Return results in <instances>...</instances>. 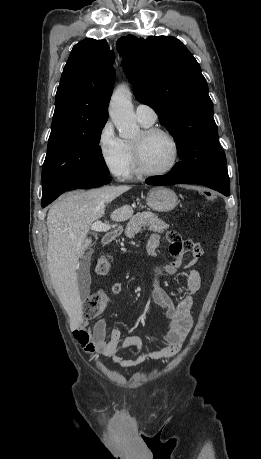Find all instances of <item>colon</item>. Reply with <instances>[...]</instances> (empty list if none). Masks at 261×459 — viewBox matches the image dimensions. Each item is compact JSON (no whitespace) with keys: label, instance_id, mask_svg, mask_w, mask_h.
Returning a JSON list of instances; mask_svg holds the SVG:
<instances>
[{"label":"colon","instance_id":"5ec220e1","mask_svg":"<svg viewBox=\"0 0 261 459\" xmlns=\"http://www.w3.org/2000/svg\"><path fill=\"white\" fill-rule=\"evenodd\" d=\"M197 194L198 197L212 199L215 197L216 191L215 188H198ZM171 233L168 235H171ZM110 269L111 265L106 257L98 258L95 265V272L97 274L106 275L110 272ZM106 301L107 296L104 293L96 292L92 294L85 302V317L89 319L96 317L103 310Z\"/></svg>","mask_w":261,"mask_h":459}]
</instances>
